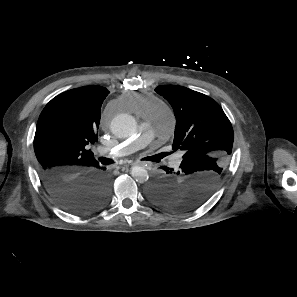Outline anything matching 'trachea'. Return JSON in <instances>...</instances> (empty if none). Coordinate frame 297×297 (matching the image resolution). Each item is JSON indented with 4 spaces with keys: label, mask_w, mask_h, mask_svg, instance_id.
<instances>
[{
    "label": "trachea",
    "mask_w": 297,
    "mask_h": 297,
    "mask_svg": "<svg viewBox=\"0 0 297 297\" xmlns=\"http://www.w3.org/2000/svg\"><path fill=\"white\" fill-rule=\"evenodd\" d=\"M99 161L103 164V165H109L112 164L114 161L112 159L109 158H105V157H100Z\"/></svg>",
    "instance_id": "trachea-1"
}]
</instances>
